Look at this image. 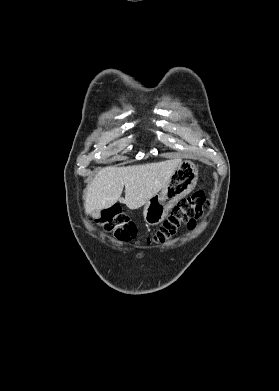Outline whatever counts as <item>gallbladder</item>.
<instances>
[{
    "mask_svg": "<svg viewBox=\"0 0 279 391\" xmlns=\"http://www.w3.org/2000/svg\"><path fill=\"white\" fill-rule=\"evenodd\" d=\"M99 214H100V212L96 210V211H94V212L92 213V216H93L94 218H96V217L99 216Z\"/></svg>",
    "mask_w": 279,
    "mask_h": 391,
    "instance_id": "gallbladder-1",
    "label": "gallbladder"
}]
</instances>
